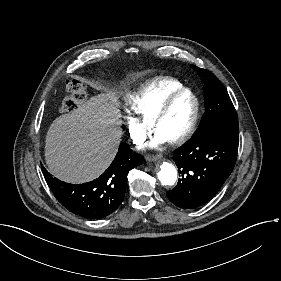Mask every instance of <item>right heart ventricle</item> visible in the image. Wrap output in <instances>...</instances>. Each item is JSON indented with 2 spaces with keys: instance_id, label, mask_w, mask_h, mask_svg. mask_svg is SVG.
I'll return each instance as SVG.
<instances>
[{
  "instance_id": "e07e8e85",
  "label": "right heart ventricle",
  "mask_w": 281,
  "mask_h": 281,
  "mask_svg": "<svg viewBox=\"0 0 281 281\" xmlns=\"http://www.w3.org/2000/svg\"><path fill=\"white\" fill-rule=\"evenodd\" d=\"M186 86L174 78H164L148 88L130 94L127 102L137 115L136 121L145 128L144 123L153 112L172 94L185 89Z\"/></svg>"
}]
</instances>
